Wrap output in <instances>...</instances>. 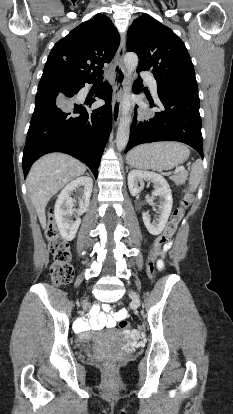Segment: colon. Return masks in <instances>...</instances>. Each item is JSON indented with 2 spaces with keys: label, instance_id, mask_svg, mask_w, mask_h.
<instances>
[{
  "label": "colon",
  "instance_id": "5ec220e1",
  "mask_svg": "<svg viewBox=\"0 0 233 414\" xmlns=\"http://www.w3.org/2000/svg\"><path fill=\"white\" fill-rule=\"evenodd\" d=\"M191 203V196H185L180 206L177 207L172 214L171 220L168 222L164 232L158 236L154 243V249L149 257L148 262V274L150 278L154 279L155 277V267H154V258L158 253L159 249L166 245L169 240L172 238L178 223L181 221L185 210ZM46 237L49 243V249L54 257V263L51 267V279L55 285H64L69 283L73 278V269L69 265L68 261L70 258L69 245L68 243L60 236L57 228L53 224V218L50 216V223L46 231ZM119 327L123 331H130L131 325L128 321L122 320L119 323ZM103 367L107 371H112L114 369V362L109 359H105L102 362Z\"/></svg>",
  "mask_w": 233,
  "mask_h": 414
}]
</instances>
